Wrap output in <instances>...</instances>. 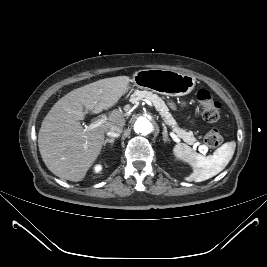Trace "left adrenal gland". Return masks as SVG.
Returning a JSON list of instances; mask_svg holds the SVG:
<instances>
[{"label": "left adrenal gland", "mask_w": 267, "mask_h": 267, "mask_svg": "<svg viewBox=\"0 0 267 267\" xmlns=\"http://www.w3.org/2000/svg\"><path fill=\"white\" fill-rule=\"evenodd\" d=\"M162 126H163V140L165 141V142H167V141H169V139H168V132H167V128H166V126H165V124L164 123H162Z\"/></svg>", "instance_id": "obj_1"}]
</instances>
